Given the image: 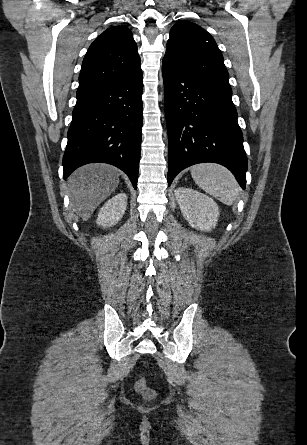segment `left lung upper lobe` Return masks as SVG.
<instances>
[{"label": "left lung upper lobe", "instance_id": "1", "mask_svg": "<svg viewBox=\"0 0 307 445\" xmlns=\"http://www.w3.org/2000/svg\"><path fill=\"white\" fill-rule=\"evenodd\" d=\"M163 60L202 85L232 95L223 56L212 36L197 24L180 21L171 28Z\"/></svg>", "mask_w": 307, "mask_h": 445}]
</instances>
